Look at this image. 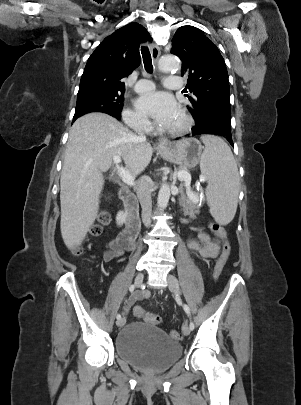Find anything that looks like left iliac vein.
Returning <instances> with one entry per match:
<instances>
[{
  "instance_id": "4c4485c4",
  "label": "left iliac vein",
  "mask_w": 301,
  "mask_h": 405,
  "mask_svg": "<svg viewBox=\"0 0 301 405\" xmlns=\"http://www.w3.org/2000/svg\"><path fill=\"white\" fill-rule=\"evenodd\" d=\"M167 281H168L170 291H172L175 295L179 296L180 295V290H179V287H178L177 278L172 274H168ZM182 332H183V334L185 336H188L190 334V332H191L190 327L188 325H184L182 327Z\"/></svg>"
}]
</instances>
